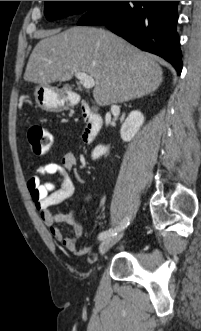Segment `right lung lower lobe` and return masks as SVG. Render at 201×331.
<instances>
[{
  "label": "right lung lower lobe",
  "mask_w": 201,
  "mask_h": 331,
  "mask_svg": "<svg viewBox=\"0 0 201 331\" xmlns=\"http://www.w3.org/2000/svg\"><path fill=\"white\" fill-rule=\"evenodd\" d=\"M179 1H100L78 25H105L138 48L170 62L180 75L182 59L176 32Z\"/></svg>",
  "instance_id": "98d812e1"
}]
</instances>
